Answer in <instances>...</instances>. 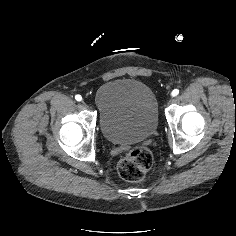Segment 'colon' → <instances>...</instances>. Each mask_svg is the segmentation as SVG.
Instances as JSON below:
<instances>
[{
    "label": "colon",
    "mask_w": 236,
    "mask_h": 236,
    "mask_svg": "<svg viewBox=\"0 0 236 236\" xmlns=\"http://www.w3.org/2000/svg\"><path fill=\"white\" fill-rule=\"evenodd\" d=\"M152 163L153 156L147 148H136L118 162L117 171L124 180L139 182L146 176Z\"/></svg>",
    "instance_id": "obj_1"
}]
</instances>
